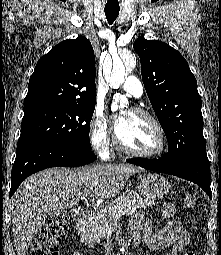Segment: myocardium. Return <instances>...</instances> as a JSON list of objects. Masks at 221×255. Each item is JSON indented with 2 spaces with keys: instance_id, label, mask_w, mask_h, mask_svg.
Segmentation results:
<instances>
[{
  "instance_id": "obj_1",
  "label": "myocardium",
  "mask_w": 221,
  "mask_h": 255,
  "mask_svg": "<svg viewBox=\"0 0 221 255\" xmlns=\"http://www.w3.org/2000/svg\"><path fill=\"white\" fill-rule=\"evenodd\" d=\"M131 112H133L134 114L147 119L148 121H150L153 126L155 127L158 136H159V144L158 147L150 152H141V151H137V150H133L131 148H129L128 146H126L122 140L120 139V137L118 136L117 132L115 133V145L116 147L123 153L130 155V156H134V157H139V158H156L161 156L167 147V138H166V134L165 131L161 125V123L158 121V119L153 116L152 114H150L149 112L142 110L140 108H133L131 110Z\"/></svg>"
}]
</instances>
